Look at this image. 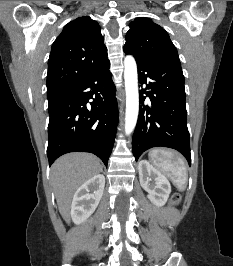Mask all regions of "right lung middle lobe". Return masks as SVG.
<instances>
[{
  "label": "right lung middle lobe",
  "instance_id": "obj_1",
  "mask_svg": "<svg viewBox=\"0 0 233 266\" xmlns=\"http://www.w3.org/2000/svg\"><path fill=\"white\" fill-rule=\"evenodd\" d=\"M60 92L47 93L48 100L56 97Z\"/></svg>",
  "mask_w": 233,
  "mask_h": 266
}]
</instances>
